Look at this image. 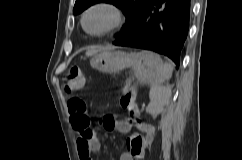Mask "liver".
<instances>
[{
	"instance_id": "6515ba94",
	"label": "liver",
	"mask_w": 242,
	"mask_h": 160,
	"mask_svg": "<svg viewBox=\"0 0 242 160\" xmlns=\"http://www.w3.org/2000/svg\"><path fill=\"white\" fill-rule=\"evenodd\" d=\"M115 46H93L86 51V56H95L98 52L115 49Z\"/></svg>"
}]
</instances>
